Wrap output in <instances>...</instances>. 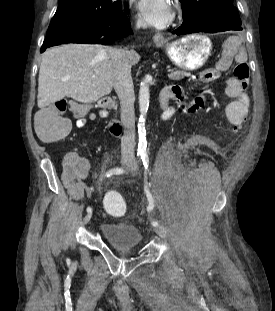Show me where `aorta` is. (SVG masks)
I'll return each instance as SVG.
<instances>
[{"instance_id": "obj_1", "label": "aorta", "mask_w": 275, "mask_h": 311, "mask_svg": "<svg viewBox=\"0 0 275 311\" xmlns=\"http://www.w3.org/2000/svg\"><path fill=\"white\" fill-rule=\"evenodd\" d=\"M150 76L147 75L140 84L139 90V110L140 117L138 121V134H139V144L138 151L143 153L146 151V130H145V118L149 106V82Z\"/></svg>"}]
</instances>
